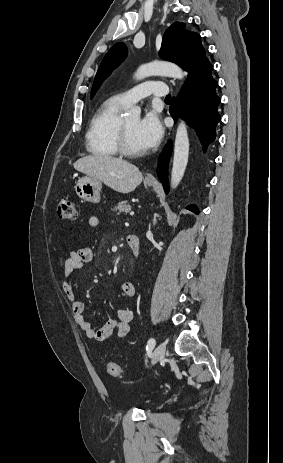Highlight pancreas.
Listing matches in <instances>:
<instances>
[{"label":"pancreas","mask_w":283,"mask_h":463,"mask_svg":"<svg viewBox=\"0 0 283 463\" xmlns=\"http://www.w3.org/2000/svg\"><path fill=\"white\" fill-rule=\"evenodd\" d=\"M114 212H117L119 215L120 213H128L131 210V206L128 204L127 201L119 202L116 206L112 209Z\"/></svg>","instance_id":"pancreas-1"}]
</instances>
